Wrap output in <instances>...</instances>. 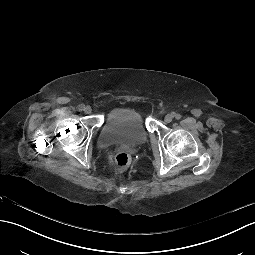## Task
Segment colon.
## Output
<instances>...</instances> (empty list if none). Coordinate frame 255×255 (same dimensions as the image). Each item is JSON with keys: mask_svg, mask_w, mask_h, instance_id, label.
Masks as SVG:
<instances>
[{"mask_svg": "<svg viewBox=\"0 0 255 255\" xmlns=\"http://www.w3.org/2000/svg\"><path fill=\"white\" fill-rule=\"evenodd\" d=\"M130 163V156L127 152H118L115 156V164L119 169H125Z\"/></svg>", "mask_w": 255, "mask_h": 255, "instance_id": "5ec220e1", "label": "colon"}]
</instances>
